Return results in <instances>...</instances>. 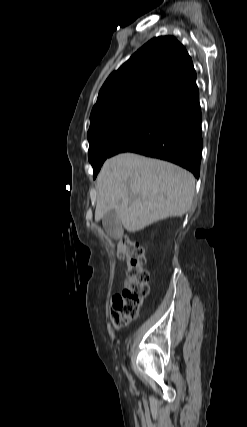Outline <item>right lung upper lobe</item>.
I'll return each mask as SVG.
<instances>
[{"mask_svg": "<svg viewBox=\"0 0 247 427\" xmlns=\"http://www.w3.org/2000/svg\"><path fill=\"white\" fill-rule=\"evenodd\" d=\"M196 84V72L184 46L173 36L153 38L103 84L90 123L127 107H158L172 95Z\"/></svg>", "mask_w": 247, "mask_h": 427, "instance_id": "1", "label": "right lung upper lobe"}]
</instances>
